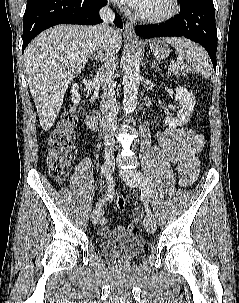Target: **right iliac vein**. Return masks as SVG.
<instances>
[{
    "mask_svg": "<svg viewBox=\"0 0 239 303\" xmlns=\"http://www.w3.org/2000/svg\"><path fill=\"white\" fill-rule=\"evenodd\" d=\"M105 163H106V168L107 171H113L114 168V158L111 156H106L105 158ZM103 215V209H96L93 211L92 215H91V221L94 225L98 224V222L100 221L101 217Z\"/></svg>",
    "mask_w": 239,
    "mask_h": 303,
    "instance_id": "obj_1",
    "label": "right iliac vein"
}]
</instances>
